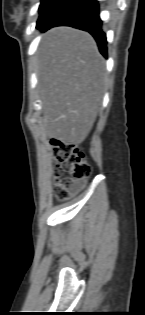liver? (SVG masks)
<instances>
[{
    "instance_id": "obj_1",
    "label": "liver",
    "mask_w": 145,
    "mask_h": 315,
    "mask_svg": "<svg viewBox=\"0 0 145 315\" xmlns=\"http://www.w3.org/2000/svg\"><path fill=\"white\" fill-rule=\"evenodd\" d=\"M36 71L46 134L66 144L82 143L100 109L106 77L95 40L69 27L49 30Z\"/></svg>"
}]
</instances>
